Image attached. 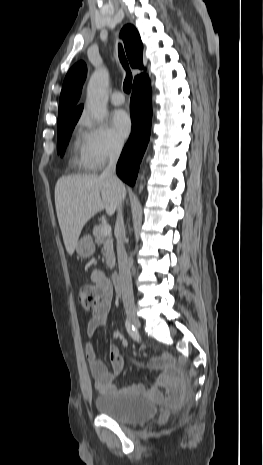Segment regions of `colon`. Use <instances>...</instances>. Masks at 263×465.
<instances>
[{
	"mask_svg": "<svg viewBox=\"0 0 263 465\" xmlns=\"http://www.w3.org/2000/svg\"><path fill=\"white\" fill-rule=\"evenodd\" d=\"M102 298L103 290L98 286L85 284L78 291L79 302L87 310L94 308Z\"/></svg>",
	"mask_w": 263,
	"mask_h": 465,
	"instance_id": "1",
	"label": "colon"
}]
</instances>
